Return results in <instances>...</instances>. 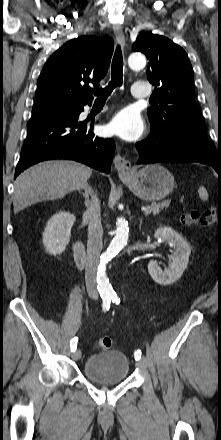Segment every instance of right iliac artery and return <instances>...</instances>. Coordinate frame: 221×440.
<instances>
[{"label":"right iliac artery","instance_id":"82829eb1","mask_svg":"<svg viewBox=\"0 0 221 440\" xmlns=\"http://www.w3.org/2000/svg\"><path fill=\"white\" fill-rule=\"evenodd\" d=\"M110 303H111V298H109V297H104L103 298V310L104 311L109 310ZM77 342H78V339L76 337L71 340L70 346H71V351L72 352H74L76 350Z\"/></svg>","mask_w":221,"mask_h":440}]
</instances>
